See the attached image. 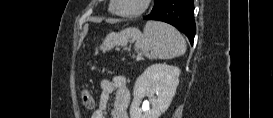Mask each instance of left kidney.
<instances>
[{"mask_svg":"<svg viewBox=\"0 0 273 118\" xmlns=\"http://www.w3.org/2000/svg\"><path fill=\"white\" fill-rule=\"evenodd\" d=\"M179 75L180 69L175 66L155 64L148 67L135 82L130 117L159 118L171 104L179 85ZM144 96L150 98L151 109L140 108Z\"/></svg>","mask_w":273,"mask_h":118,"instance_id":"obj_1","label":"left kidney"}]
</instances>
